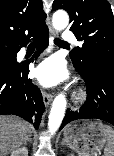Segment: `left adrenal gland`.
Segmentation results:
<instances>
[{
	"label": "left adrenal gland",
	"mask_w": 114,
	"mask_h": 156,
	"mask_svg": "<svg viewBox=\"0 0 114 156\" xmlns=\"http://www.w3.org/2000/svg\"><path fill=\"white\" fill-rule=\"evenodd\" d=\"M61 145L64 146L65 145V140L63 139V141L61 142Z\"/></svg>",
	"instance_id": "a2214340"
}]
</instances>
